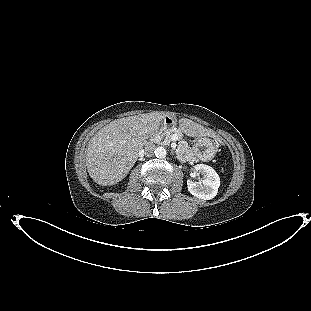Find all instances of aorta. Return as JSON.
<instances>
[{"label":"aorta","instance_id":"obj_1","mask_svg":"<svg viewBox=\"0 0 311 311\" xmlns=\"http://www.w3.org/2000/svg\"><path fill=\"white\" fill-rule=\"evenodd\" d=\"M154 153L157 158H165L167 154L166 149L162 146L155 148Z\"/></svg>","mask_w":311,"mask_h":311}]
</instances>
